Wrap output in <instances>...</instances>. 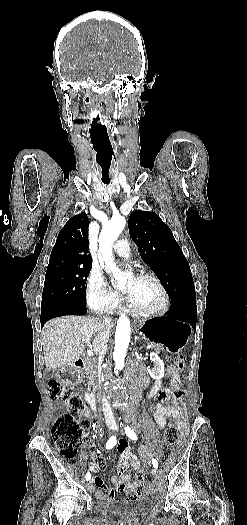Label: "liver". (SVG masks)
<instances>
[{
	"instance_id": "liver-1",
	"label": "liver",
	"mask_w": 247,
	"mask_h": 525,
	"mask_svg": "<svg viewBox=\"0 0 247 525\" xmlns=\"http://www.w3.org/2000/svg\"><path fill=\"white\" fill-rule=\"evenodd\" d=\"M114 323L103 325L97 317H56L42 329L44 363L48 371L76 363L86 347L98 355L100 343H108Z\"/></svg>"
}]
</instances>
